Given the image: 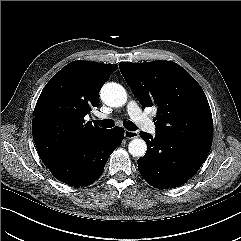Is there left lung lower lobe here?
<instances>
[{
	"label": "left lung lower lobe",
	"instance_id": "1",
	"mask_svg": "<svg viewBox=\"0 0 241 241\" xmlns=\"http://www.w3.org/2000/svg\"><path fill=\"white\" fill-rule=\"evenodd\" d=\"M147 143L146 154L139 158L138 170L152 186L175 188L188 181L201 167L210 148L141 132Z\"/></svg>",
	"mask_w": 241,
	"mask_h": 241
}]
</instances>
